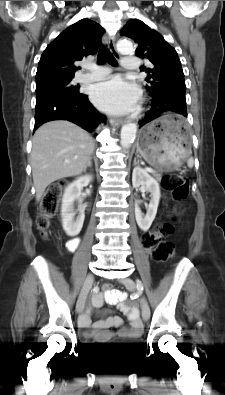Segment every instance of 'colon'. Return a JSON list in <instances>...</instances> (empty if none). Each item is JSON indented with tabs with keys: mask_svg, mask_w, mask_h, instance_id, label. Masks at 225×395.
I'll return each mask as SVG.
<instances>
[{
	"mask_svg": "<svg viewBox=\"0 0 225 395\" xmlns=\"http://www.w3.org/2000/svg\"><path fill=\"white\" fill-rule=\"evenodd\" d=\"M162 184L171 193L175 204L167 212L168 220L157 223L154 229L143 237L145 248L158 262H166L174 256L175 246L165 238L172 234L174 223L180 220L183 202L189 194V180L186 176L168 174L163 176ZM64 186L63 181L51 184L39 201L37 227L43 236L49 233L52 219L57 214L58 201ZM103 286L104 292H111L112 287L109 281H105Z\"/></svg>",
	"mask_w": 225,
	"mask_h": 395,
	"instance_id": "5ec220e1",
	"label": "colon"
}]
</instances>
